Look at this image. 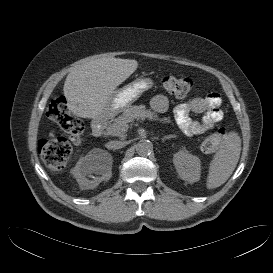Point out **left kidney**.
I'll return each instance as SVG.
<instances>
[{
    "instance_id": "obj_1",
    "label": "left kidney",
    "mask_w": 273,
    "mask_h": 273,
    "mask_svg": "<svg viewBox=\"0 0 273 273\" xmlns=\"http://www.w3.org/2000/svg\"><path fill=\"white\" fill-rule=\"evenodd\" d=\"M173 163L181 179L189 183L200 180L201 164L197 156L190 154L188 151L180 150L174 154Z\"/></svg>"
}]
</instances>
